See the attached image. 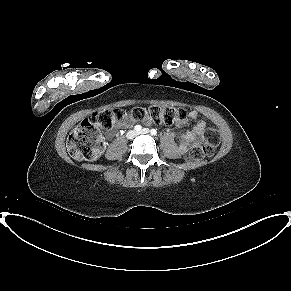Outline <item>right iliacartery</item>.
<instances>
[{
	"label": "right iliac artery",
	"instance_id": "obj_1",
	"mask_svg": "<svg viewBox=\"0 0 291 291\" xmlns=\"http://www.w3.org/2000/svg\"><path fill=\"white\" fill-rule=\"evenodd\" d=\"M134 129H135L136 131H140V130L142 129V127H141V125H136V126L134 127Z\"/></svg>",
	"mask_w": 291,
	"mask_h": 291
}]
</instances>
